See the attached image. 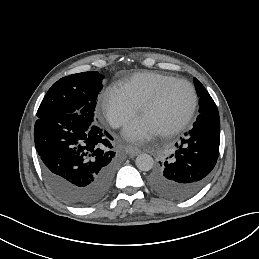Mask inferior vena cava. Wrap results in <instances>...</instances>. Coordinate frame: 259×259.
<instances>
[{
  "instance_id": "1",
  "label": "inferior vena cava",
  "mask_w": 259,
  "mask_h": 259,
  "mask_svg": "<svg viewBox=\"0 0 259 259\" xmlns=\"http://www.w3.org/2000/svg\"><path fill=\"white\" fill-rule=\"evenodd\" d=\"M123 124V119L121 117H115L111 121V125L114 128H119Z\"/></svg>"
}]
</instances>
